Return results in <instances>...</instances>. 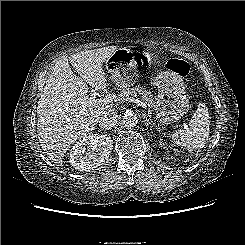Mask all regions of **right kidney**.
Masks as SVG:
<instances>
[{"mask_svg": "<svg viewBox=\"0 0 245 245\" xmlns=\"http://www.w3.org/2000/svg\"><path fill=\"white\" fill-rule=\"evenodd\" d=\"M112 139L107 135L86 136L74 144L69 155L71 166L82 171H90L102 165L112 149ZM86 149L88 152L86 153Z\"/></svg>", "mask_w": 245, "mask_h": 245, "instance_id": "obj_1", "label": "right kidney"}]
</instances>
